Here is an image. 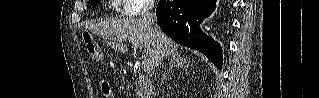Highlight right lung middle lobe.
Wrapping results in <instances>:
<instances>
[{"label":"right lung middle lobe","mask_w":319,"mask_h":98,"mask_svg":"<svg viewBox=\"0 0 319 98\" xmlns=\"http://www.w3.org/2000/svg\"><path fill=\"white\" fill-rule=\"evenodd\" d=\"M89 3L93 6H95L99 3V0H90Z\"/></svg>","instance_id":"right-lung-middle-lobe-1"}]
</instances>
